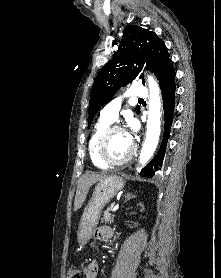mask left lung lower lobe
Masks as SVG:
<instances>
[{
	"mask_svg": "<svg viewBox=\"0 0 221 278\" xmlns=\"http://www.w3.org/2000/svg\"><path fill=\"white\" fill-rule=\"evenodd\" d=\"M162 91L163 109H164V135L160 149L156 156L145 166L140 176L153 177L155 173L161 169L164 159L166 145L170 135V127L173 119V111L175 105V72L170 60L168 64L160 71L157 76Z\"/></svg>",
	"mask_w": 221,
	"mask_h": 278,
	"instance_id": "left-lung-lower-lobe-1",
	"label": "left lung lower lobe"
}]
</instances>
